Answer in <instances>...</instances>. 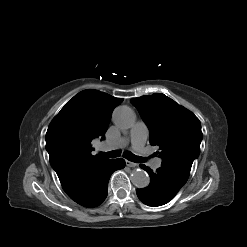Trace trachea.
<instances>
[{
  "label": "trachea",
  "mask_w": 247,
  "mask_h": 247,
  "mask_svg": "<svg viewBox=\"0 0 247 247\" xmlns=\"http://www.w3.org/2000/svg\"><path fill=\"white\" fill-rule=\"evenodd\" d=\"M102 156L107 157V158H115V157H119L121 155V152L119 150L116 151H111V152H101L100 153ZM124 157L126 159H128L129 161L135 162V163H139V162H143L145 161V159L134 155L131 152H124Z\"/></svg>",
  "instance_id": "obj_1"
}]
</instances>
